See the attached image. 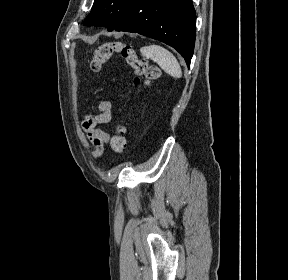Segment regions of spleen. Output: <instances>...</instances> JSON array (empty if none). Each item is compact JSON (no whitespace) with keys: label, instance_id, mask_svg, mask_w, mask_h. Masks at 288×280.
Here are the masks:
<instances>
[{"label":"spleen","instance_id":"spleen-1","mask_svg":"<svg viewBox=\"0 0 288 280\" xmlns=\"http://www.w3.org/2000/svg\"><path fill=\"white\" fill-rule=\"evenodd\" d=\"M140 52L143 56L150 58L154 62L158 63V65L172 77H182V71L177 59L170 51L164 47L152 44L142 47Z\"/></svg>","mask_w":288,"mask_h":280}]
</instances>
